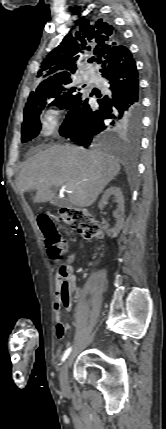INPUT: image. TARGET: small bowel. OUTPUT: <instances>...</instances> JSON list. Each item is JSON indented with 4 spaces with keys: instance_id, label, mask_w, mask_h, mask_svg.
<instances>
[{
    "instance_id": "c3829d8e",
    "label": "small bowel",
    "mask_w": 166,
    "mask_h": 429,
    "mask_svg": "<svg viewBox=\"0 0 166 429\" xmlns=\"http://www.w3.org/2000/svg\"><path fill=\"white\" fill-rule=\"evenodd\" d=\"M76 258V253H71L65 264L61 265L56 274V296H55V311H56V336L58 339H63L69 325L62 321V310H69L71 308L70 291L66 293L63 289L64 283L61 282L63 278L67 279L71 287L74 285L72 277L73 266L72 263Z\"/></svg>"
}]
</instances>
